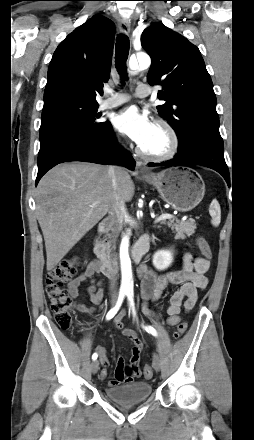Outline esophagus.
Instances as JSON below:
<instances>
[{
  "label": "esophagus",
  "mask_w": 254,
  "mask_h": 440,
  "mask_svg": "<svg viewBox=\"0 0 254 440\" xmlns=\"http://www.w3.org/2000/svg\"><path fill=\"white\" fill-rule=\"evenodd\" d=\"M118 27L119 30L125 35H128L131 31L130 23L126 20H118ZM136 172L140 174H148V171L145 169L143 163L139 160L136 161Z\"/></svg>",
  "instance_id": "1"
}]
</instances>
